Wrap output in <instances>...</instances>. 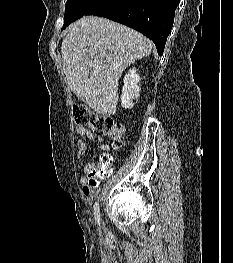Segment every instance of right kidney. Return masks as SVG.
Listing matches in <instances>:
<instances>
[{
    "label": "right kidney",
    "mask_w": 233,
    "mask_h": 263,
    "mask_svg": "<svg viewBox=\"0 0 233 263\" xmlns=\"http://www.w3.org/2000/svg\"><path fill=\"white\" fill-rule=\"evenodd\" d=\"M140 76L135 68L130 69L124 77V86L122 88L121 106L125 109H131L134 106L133 100L138 99L140 95Z\"/></svg>",
    "instance_id": "obj_1"
}]
</instances>
